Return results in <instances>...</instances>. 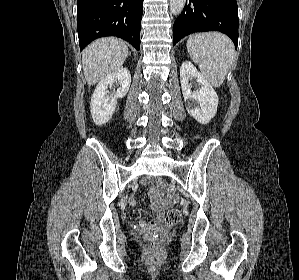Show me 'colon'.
I'll return each instance as SVG.
<instances>
[{
  "instance_id": "5ec220e1",
  "label": "colon",
  "mask_w": 299,
  "mask_h": 280,
  "mask_svg": "<svg viewBox=\"0 0 299 280\" xmlns=\"http://www.w3.org/2000/svg\"><path fill=\"white\" fill-rule=\"evenodd\" d=\"M162 188H165V184L162 183ZM181 219V211L177 208H170L164 213H162L158 218V225L161 228H167L177 224ZM159 237L158 229H152L149 232L148 238L152 246L157 244Z\"/></svg>"
}]
</instances>
